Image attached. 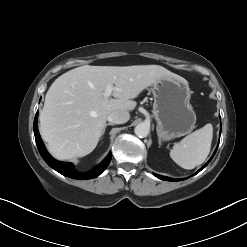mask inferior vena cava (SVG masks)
<instances>
[{"instance_id": "inferior-vena-cava-1", "label": "inferior vena cava", "mask_w": 247, "mask_h": 247, "mask_svg": "<svg viewBox=\"0 0 247 247\" xmlns=\"http://www.w3.org/2000/svg\"><path fill=\"white\" fill-rule=\"evenodd\" d=\"M130 118V114L126 110H114L108 116V121L113 124L126 123Z\"/></svg>"}]
</instances>
